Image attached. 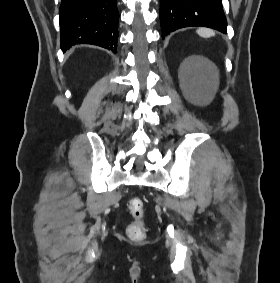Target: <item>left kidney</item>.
<instances>
[{
    "label": "left kidney",
    "instance_id": "left-kidney-1",
    "mask_svg": "<svg viewBox=\"0 0 280 283\" xmlns=\"http://www.w3.org/2000/svg\"><path fill=\"white\" fill-rule=\"evenodd\" d=\"M198 61H202V62H205L206 63V60L204 58H201V57H192V58H189L188 60L185 61V64L187 65H195L198 63Z\"/></svg>",
    "mask_w": 280,
    "mask_h": 283
}]
</instances>
